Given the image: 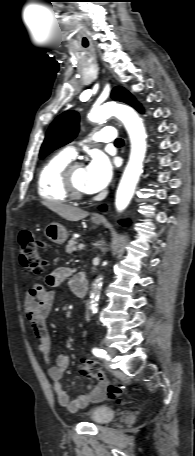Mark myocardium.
<instances>
[{
    "instance_id": "myocardium-1",
    "label": "myocardium",
    "mask_w": 195,
    "mask_h": 456,
    "mask_svg": "<svg viewBox=\"0 0 195 456\" xmlns=\"http://www.w3.org/2000/svg\"><path fill=\"white\" fill-rule=\"evenodd\" d=\"M83 167L80 162H70L62 173V182L65 191L68 196L72 199L80 200L88 196V192L81 191L78 189L73 182V173L77 168Z\"/></svg>"
}]
</instances>
